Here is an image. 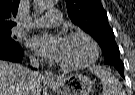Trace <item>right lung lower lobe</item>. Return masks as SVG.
<instances>
[{
    "instance_id": "1",
    "label": "right lung lower lobe",
    "mask_w": 135,
    "mask_h": 95,
    "mask_svg": "<svg viewBox=\"0 0 135 95\" xmlns=\"http://www.w3.org/2000/svg\"><path fill=\"white\" fill-rule=\"evenodd\" d=\"M24 55L23 49L20 45L12 48L0 49V59L19 62Z\"/></svg>"
}]
</instances>
